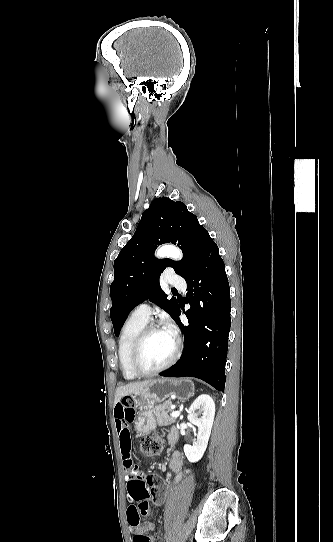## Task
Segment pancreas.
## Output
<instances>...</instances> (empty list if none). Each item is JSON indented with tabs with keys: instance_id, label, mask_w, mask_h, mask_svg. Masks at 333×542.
I'll use <instances>...</instances> for the list:
<instances>
[{
	"instance_id": "obj_1",
	"label": "pancreas",
	"mask_w": 333,
	"mask_h": 542,
	"mask_svg": "<svg viewBox=\"0 0 333 542\" xmlns=\"http://www.w3.org/2000/svg\"><path fill=\"white\" fill-rule=\"evenodd\" d=\"M170 406V402H164V404H157V406H154V416L159 426H171V424H175L176 418H171V416H169V412H173ZM151 408H153V406H151Z\"/></svg>"
}]
</instances>
